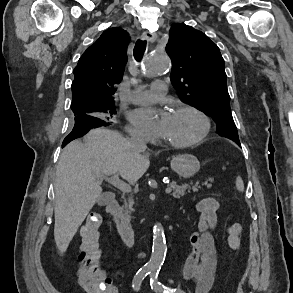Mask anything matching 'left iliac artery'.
I'll list each match as a JSON object with an SVG mask.
<instances>
[{"instance_id": "1", "label": "left iliac artery", "mask_w": 293, "mask_h": 293, "mask_svg": "<svg viewBox=\"0 0 293 293\" xmlns=\"http://www.w3.org/2000/svg\"><path fill=\"white\" fill-rule=\"evenodd\" d=\"M150 285L152 290H154L156 293H173V289L171 290L169 287L162 284L158 279L159 270L158 269H152L150 271ZM176 289H174V292ZM178 293H183L181 290H178Z\"/></svg>"}]
</instances>
